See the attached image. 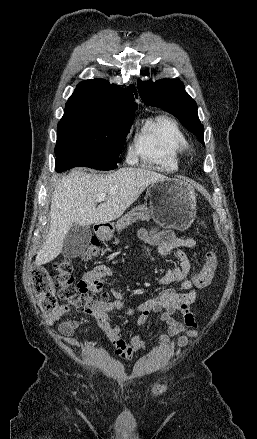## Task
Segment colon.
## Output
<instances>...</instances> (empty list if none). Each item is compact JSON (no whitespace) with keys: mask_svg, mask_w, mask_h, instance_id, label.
I'll list each match as a JSON object with an SVG mask.
<instances>
[{"mask_svg":"<svg viewBox=\"0 0 257 439\" xmlns=\"http://www.w3.org/2000/svg\"><path fill=\"white\" fill-rule=\"evenodd\" d=\"M99 254L100 244L97 239H94L85 250L84 258L91 260L98 257ZM216 263L215 252H207L202 269L191 274V279L198 288H203L212 281ZM54 268L57 272L54 276L43 267H36L32 272L34 290L44 315L54 314L59 307V301L90 314L100 311L108 303L109 296L106 292H93L74 283L73 265L70 260L59 261L54 265Z\"/></svg>","mask_w":257,"mask_h":439,"instance_id":"obj_1","label":"colon"}]
</instances>
